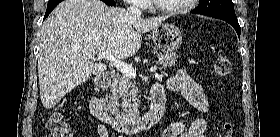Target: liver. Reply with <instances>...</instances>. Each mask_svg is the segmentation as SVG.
<instances>
[{
  "label": "liver",
  "instance_id": "1",
  "mask_svg": "<svg viewBox=\"0 0 280 137\" xmlns=\"http://www.w3.org/2000/svg\"><path fill=\"white\" fill-rule=\"evenodd\" d=\"M166 16L141 18L101 0H65L44 21L40 31L38 74L44 108L54 107L69 91L102 74L97 52L117 59L135 55L142 33L153 30Z\"/></svg>",
  "mask_w": 280,
  "mask_h": 137
}]
</instances>
